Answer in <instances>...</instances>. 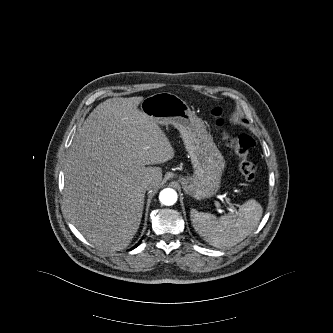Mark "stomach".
I'll return each mask as SVG.
<instances>
[{"label": "stomach", "mask_w": 333, "mask_h": 333, "mask_svg": "<svg viewBox=\"0 0 333 333\" xmlns=\"http://www.w3.org/2000/svg\"><path fill=\"white\" fill-rule=\"evenodd\" d=\"M141 111L157 124H171L180 132L194 167L193 176L179 178L184 191L197 200L214 196L220 188L225 160L187 103L173 93L160 92L144 98Z\"/></svg>", "instance_id": "1"}]
</instances>
